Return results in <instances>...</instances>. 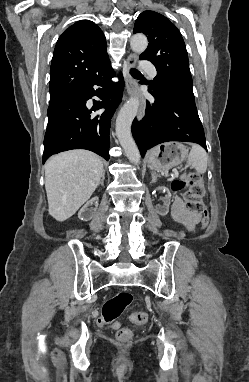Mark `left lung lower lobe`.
<instances>
[{
  "instance_id": "left-lung-lower-lobe-1",
  "label": "left lung lower lobe",
  "mask_w": 249,
  "mask_h": 382,
  "mask_svg": "<svg viewBox=\"0 0 249 382\" xmlns=\"http://www.w3.org/2000/svg\"><path fill=\"white\" fill-rule=\"evenodd\" d=\"M148 91L155 101H147L142 121L134 119L132 123V134L141 156L144 157L148 149L168 141L193 142L207 150L195 101L151 86Z\"/></svg>"
}]
</instances>
